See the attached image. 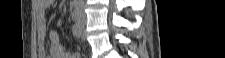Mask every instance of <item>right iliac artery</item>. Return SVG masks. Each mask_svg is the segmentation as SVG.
<instances>
[{"instance_id": "82829eb1", "label": "right iliac artery", "mask_w": 225, "mask_h": 58, "mask_svg": "<svg viewBox=\"0 0 225 58\" xmlns=\"http://www.w3.org/2000/svg\"><path fill=\"white\" fill-rule=\"evenodd\" d=\"M72 33H73V35H74L75 37L80 38L81 32H80V29H79V27H78L77 24H74V25L72 26Z\"/></svg>"}]
</instances>
